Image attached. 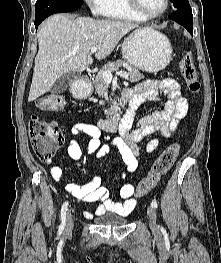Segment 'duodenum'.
<instances>
[{
	"label": "duodenum",
	"mask_w": 221,
	"mask_h": 263,
	"mask_svg": "<svg viewBox=\"0 0 221 263\" xmlns=\"http://www.w3.org/2000/svg\"><path fill=\"white\" fill-rule=\"evenodd\" d=\"M72 91L75 97H79V88L77 86H74L72 88ZM129 100H130L129 95L122 92V94L120 95V106L122 108V111L117 113L114 117L104 120L102 122V128L105 131L113 132L119 126L121 127L122 125H128L130 123V121L132 120V112L135 111L138 107L131 106L130 109L125 110V106L129 102Z\"/></svg>",
	"instance_id": "410a0bca"
}]
</instances>
